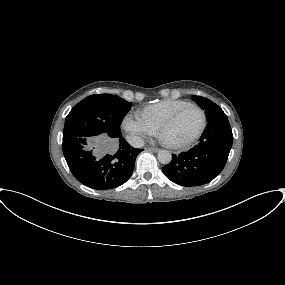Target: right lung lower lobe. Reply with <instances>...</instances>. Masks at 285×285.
I'll list each match as a JSON object with an SVG mask.
<instances>
[{
    "label": "right lung lower lobe",
    "mask_w": 285,
    "mask_h": 285,
    "mask_svg": "<svg viewBox=\"0 0 285 285\" xmlns=\"http://www.w3.org/2000/svg\"><path fill=\"white\" fill-rule=\"evenodd\" d=\"M115 153H106L102 141L79 137L63 142L62 149L73 176L85 186L108 190L124 184L131 176L135 159L143 149L130 146L123 137L116 140Z\"/></svg>",
    "instance_id": "obj_1"
}]
</instances>
